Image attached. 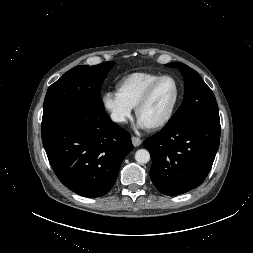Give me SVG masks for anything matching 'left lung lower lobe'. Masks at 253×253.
Listing matches in <instances>:
<instances>
[{
    "label": "left lung lower lobe",
    "instance_id": "0a47b994",
    "mask_svg": "<svg viewBox=\"0 0 253 253\" xmlns=\"http://www.w3.org/2000/svg\"><path fill=\"white\" fill-rule=\"evenodd\" d=\"M220 121L199 120L162 129L146 139L152 166L150 177L168 196L198 187L208 175L220 141Z\"/></svg>",
    "mask_w": 253,
    "mask_h": 253
}]
</instances>
